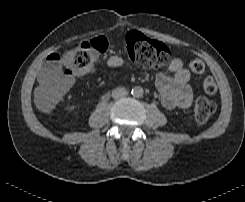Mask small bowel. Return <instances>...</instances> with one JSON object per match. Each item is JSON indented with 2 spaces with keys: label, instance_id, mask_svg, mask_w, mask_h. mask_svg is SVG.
<instances>
[{
  "label": "small bowel",
  "instance_id": "c3829d8e",
  "mask_svg": "<svg viewBox=\"0 0 245 202\" xmlns=\"http://www.w3.org/2000/svg\"><path fill=\"white\" fill-rule=\"evenodd\" d=\"M123 64L124 59L120 55H112L107 60V65L111 68H117ZM44 77H40L38 81L37 92ZM190 78L189 70L184 67L183 61L179 58L172 59L168 66L157 73L155 82L164 108L171 110L178 107L186 108L190 105L193 98L189 85ZM73 84L74 81L71 79L70 89Z\"/></svg>",
  "mask_w": 245,
  "mask_h": 202
}]
</instances>
